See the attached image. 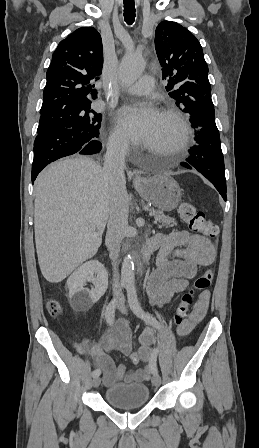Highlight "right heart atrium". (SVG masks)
I'll return each mask as SVG.
<instances>
[{"label":"right heart atrium","mask_w":259,"mask_h":448,"mask_svg":"<svg viewBox=\"0 0 259 448\" xmlns=\"http://www.w3.org/2000/svg\"><path fill=\"white\" fill-rule=\"evenodd\" d=\"M109 147L117 152L125 153L131 147L130 140L118 128H113L108 141Z\"/></svg>","instance_id":"1"}]
</instances>
